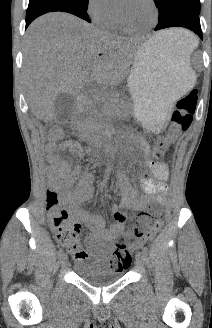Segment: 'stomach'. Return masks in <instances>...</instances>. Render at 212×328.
I'll return each mask as SVG.
<instances>
[{
    "mask_svg": "<svg viewBox=\"0 0 212 328\" xmlns=\"http://www.w3.org/2000/svg\"><path fill=\"white\" fill-rule=\"evenodd\" d=\"M189 57L179 46L152 38L134 56L128 86L135 115L154 132L167 123L173 103L195 84Z\"/></svg>",
    "mask_w": 212,
    "mask_h": 328,
    "instance_id": "0dacf381",
    "label": "stomach"
}]
</instances>
